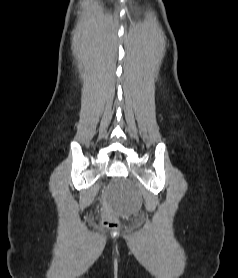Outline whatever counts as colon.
I'll use <instances>...</instances> for the list:
<instances>
[{
  "instance_id": "1",
  "label": "colon",
  "mask_w": 238,
  "mask_h": 278,
  "mask_svg": "<svg viewBox=\"0 0 238 278\" xmlns=\"http://www.w3.org/2000/svg\"><path fill=\"white\" fill-rule=\"evenodd\" d=\"M104 224L110 228H115L118 227L119 225L118 221L109 210H106Z\"/></svg>"
}]
</instances>
